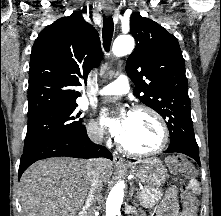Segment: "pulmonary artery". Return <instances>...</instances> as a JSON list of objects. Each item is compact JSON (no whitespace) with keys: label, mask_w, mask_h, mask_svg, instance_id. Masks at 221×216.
Here are the masks:
<instances>
[{"label":"pulmonary artery","mask_w":221,"mask_h":216,"mask_svg":"<svg viewBox=\"0 0 221 216\" xmlns=\"http://www.w3.org/2000/svg\"><path fill=\"white\" fill-rule=\"evenodd\" d=\"M130 90L129 78L126 75L118 76L113 82L104 86L98 92L99 95H123Z\"/></svg>","instance_id":"pulmonary-artery-1"}]
</instances>
